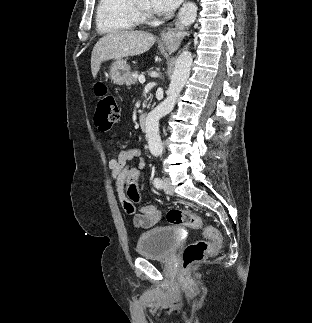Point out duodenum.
<instances>
[{
	"label": "duodenum",
	"mask_w": 312,
	"mask_h": 323,
	"mask_svg": "<svg viewBox=\"0 0 312 323\" xmlns=\"http://www.w3.org/2000/svg\"><path fill=\"white\" fill-rule=\"evenodd\" d=\"M138 124L142 131H146L147 129V118L145 113H140L138 116Z\"/></svg>",
	"instance_id": "duodenum-1"
}]
</instances>
